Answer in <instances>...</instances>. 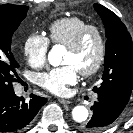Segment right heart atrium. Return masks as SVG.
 Segmentation results:
<instances>
[{"label": "right heart atrium", "mask_w": 133, "mask_h": 133, "mask_svg": "<svg viewBox=\"0 0 133 133\" xmlns=\"http://www.w3.org/2000/svg\"><path fill=\"white\" fill-rule=\"evenodd\" d=\"M49 50L48 38L40 33L30 34L24 41L23 52L28 63L35 67H42L47 59Z\"/></svg>", "instance_id": "obj_1"}]
</instances>
